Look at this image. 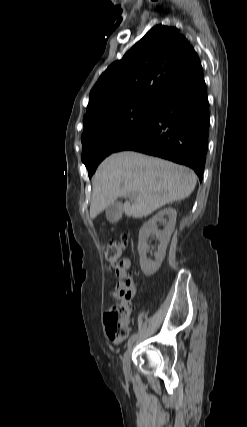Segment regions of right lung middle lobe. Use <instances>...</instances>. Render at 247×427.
Here are the masks:
<instances>
[{
    "mask_svg": "<svg viewBox=\"0 0 247 427\" xmlns=\"http://www.w3.org/2000/svg\"><path fill=\"white\" fill-rule=\"evenodd\" d=\"M156 105L132 106L84 129L82 162L91 177L98 164L116 152L152 119Z\"/></svg>",
    "mask_w": 247,
    "mask_h": 427,
    "instance_id": "dd1d6c3e",
    "label": "right lung middle lobe"
}]
</instances>
